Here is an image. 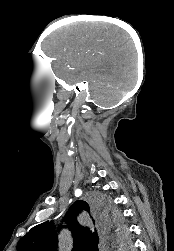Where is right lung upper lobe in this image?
I'll return each mask as SVG.
<instances>
[{"label": "right lung upper lobe", "mask_w": 174, "mask_h": 251, "mask_svg": "<svg viewBox=\"0 0 174 251\" xmlns=\"http://www.w3.org/2000/svg\"><path fill=\"white\" fill-rule=\"evenodd\" d=\"M90 211L87 202L76 201L69 209L64 221L73 233L75 251H99L98 234L79 225L76 216L82 211ZM102 223V222H101ZM60 228V227H59ZM57 233L52 222L46 221L33 227L17 244V251H56Z\"/></svg>", "instance_id": "cb5924a9"}]
</instances>
